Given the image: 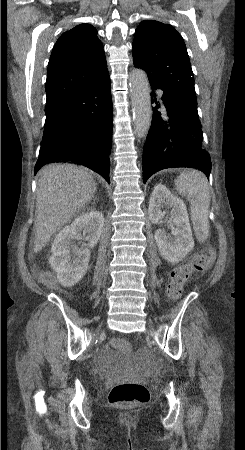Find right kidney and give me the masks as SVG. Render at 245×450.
<instances>
[{
	"instance_id": "1",
	"label": "right kidney",
	"mask_w": 245,
	"mask_h": 450,
	"mask_svg": "<svg viewBox=\"0 0 245 450\" xmlns=\"http://www.w3.org/2000/svg\"><path fill=\"white\" fill-rule=\"evenodd\" d=\"M104 226V216L99 211H90L78 216L71 225L64 227L55 237L49 258L57 279L65 287L78 283L85 275L90 260V249L100 239ZM86 235L88 243L77 248L73 241Z\"/></svg>"
}]
</instances>
